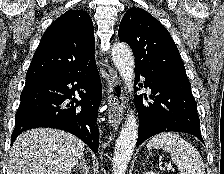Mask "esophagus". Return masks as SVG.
<instances>
[{
	"mask_svg": "<svg viewBox=\"0 0 224 174\" xmlns=\"http://www.w3.org/2000/svg\"><path fill=\"white\" fill-rule=\"evenodd\" d=\"M109 124L116 130L121 122L124 109V93L117 72L109 69L108 81Z\"/></svg>",
	"mask_w": 224,
	"mask_h": 174,
	"instance_id": "1",
	"label": "esophagus"
}]
</instances>
